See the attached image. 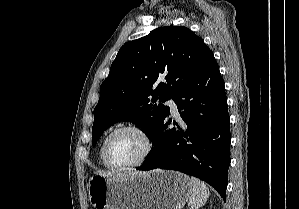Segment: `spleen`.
Segmentation results:
<instances>
[{
  "label": "spleen",
  "instance_id": "3e777b00",
  "mask_svg": "<svg viewBox=\"0 0 299 209\" xmlns=\"http://www.w3.org/2000/svg\"><path fill=\"white\" fill-rule=\"evenodd\" d=\"M193 195L190 197L188 206L190 209H199L203 206L210 196V192L206 184L195 177L190 179Z\"/></svg>",
  "mask_w": 299,
  "mask_h": 209
}]
</instances>
